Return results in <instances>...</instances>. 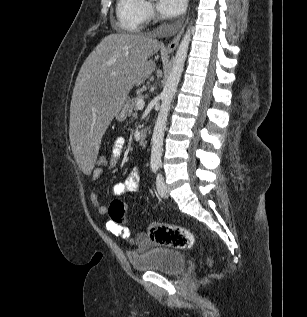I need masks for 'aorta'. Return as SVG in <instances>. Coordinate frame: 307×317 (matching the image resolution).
Wrapping results in <instances>:
<instances>
[{
  "label": "aorta",
  "mask_w": 307,
  "mask_h": 317,
  "mask_svg": "<svg viewBox=\"0 0 307 317\" xmlns=\"http://www.w3.org/2000/svg\"><path fill=\"white\" fill-rule=\"evenodd\" d=\"M192 29L191 26L187 29L173 59V66L163 91L160 95L161 107L154 126L153 135L151 139V167H158L161 164L162 146L164 132L166 129L167 117L171 107V102L176 93L184 64L186 61L189 43L191 40Z\"/></svg>",
  "instance_id": "obj_1"
}]
</instances>
